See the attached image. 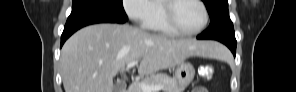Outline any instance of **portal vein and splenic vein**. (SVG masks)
<instances>
[{"label":"portal vein and splenic vein","instance_id":"1","mask_svg":"<svg viewBox=\"0 0 296 92\" xmlns=\"http://www.w3.org/2000/svg\"><path fill=\"white\" fill-rule=\"evenodd\" d=\"M138 65V60H134L131 61L127 64L126 68L127 69H131L132 67ZM137 85H139V87L141 88V90L143 92H157L159 90H161L163 88V85H149L146 83H136Z\"/></svg>","mask_w":296,"mask_h":92}]
</instances>
